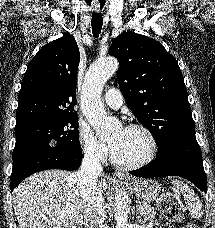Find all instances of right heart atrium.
I'll return each mask as SVG.
<instances>
[{
	"mask_svg": "<svg viewBox=\"0 0 215 228\" xmlns=\"http://www.w3.org/2000/svg\"><path fill=\"white\" fill-rule=\"evenodd\" d=\"M76 139L82 155L88 161L101 163L107 159L109 155L107 145L95 136L94 132L87 124H78Z\"/></svg>",
	"mask_w": 215,
	"mask_h": 228,
	"instance_id": "1",
	"label": "right heart atrium"
}]
</instances>
